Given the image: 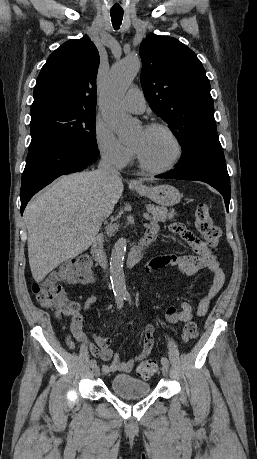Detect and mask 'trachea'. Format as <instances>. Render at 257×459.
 Instances as JSON below:
<instances>
[{
	"instance_id": "obj_1",
	"label": "trachea",
	"mask_w": 257,
	"mask_h": 459,
	"mask_svg": "<svg viewBox=\"0 0 257 459\" xmlns=\"http://www.w3.org/2000/svg\"><path fill=\"white\" fill-rule=\"evenodd\" d=\"M112 25L115 30H118L123 19V11H110Z\"/></svg>"
}]
</instances>
